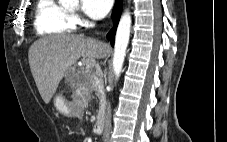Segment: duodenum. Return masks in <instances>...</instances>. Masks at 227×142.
Listing matches in <instances>:
<instances>
[{
    "mask_svg": "<svg viewBox=\"0 0 227 142\" xmlns=\"http://www.w3.org/2000/svg\"><path fill=\"white\" fill-rule=\"evenodd\" d=\"M104 116H105V112L101 111L97 121L95 122V124L93 125V132L96 134H99L102 132V128H103V124H104Z\"/></svg>",
    "mask_w": 227,
    "mask_h": 142,
    "instance_id": "1",
    "label": "duodenum"
}]
</instances>
